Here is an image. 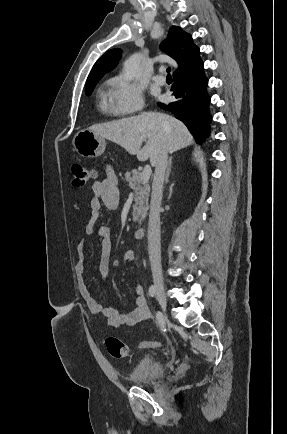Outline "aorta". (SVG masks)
I'll return each mask as SVG.
<instances>
[{
    "label": "aorta",
    "mask_w": 287,
    "mask_h": 434,
    "mask_svg": "<svg viewBox=\"0 0 287 434\" xmlns=\"http://www.w3.org/2000/svg\"><path fill=\"white\" fill-rule=\"evenodd\" d=\"M142 55L136 53L129 57L124 63L123 74L127 80H133L140 73Z\"/></svg>",
    "instance_id": "1"
}]
</instances>
